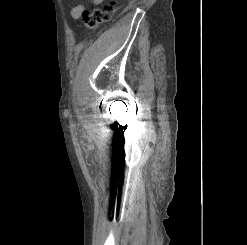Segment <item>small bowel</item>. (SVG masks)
Instances as JSON below:
<instances>
[{"instance_id": "small-bowel-1", "label": "small bowel", "mask_w": 247, "mask_h": 245, "mask_svg": "<svg viewBox=\"0 0 247 245\" xmlns=\"http://www.w3.org/2000/svg\"><path fill=\"white\" fill-rule=\"evenodd\" d=\"M95 5L100 4L103 0H92ZM85 12V7L83 4H76L71 8V17L75 20L80 19Z\"/></svg>"}]
</instances>
